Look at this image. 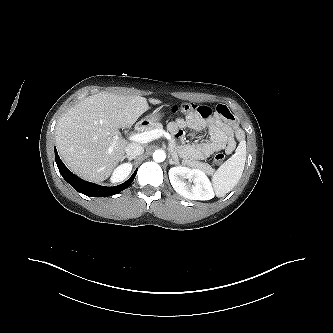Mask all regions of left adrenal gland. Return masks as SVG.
<instances>
[{
	"label": "left adrenal gland",
	"mask_w": 333,
	"mask_h": 333,
	"mask_svg": "<svg viewBox=\"0 0 333 333\" xmlns=\"http://www.w3.org/2000/svg\"><path fill=\"white\" fill-rule=\"evenodd\" d=\"M170 164L180 165L178 158L172 154V157L169 159Z\"/></svg>",
	"instance_id": "left-adrenal-gland-1"
}]
</instances>
